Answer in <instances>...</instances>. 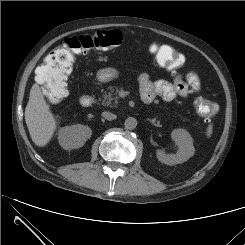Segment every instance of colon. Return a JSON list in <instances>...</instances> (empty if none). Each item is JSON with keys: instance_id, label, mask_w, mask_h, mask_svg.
I'll return each instance as SVG.
<instances>
[{"instance_id": "obj_1", "label": "colon", "mask_w": 245, "mask_h": 245, "mask_svg": "<svg viewBox=\"0 0 245 245\" xmlns=\"http://www.w3.org/2000/svg\"><path fill=\"white\" fill-rule=\"evenodd\" d=\"M122 43V34L118 30L96 31L90 35H79L67 39L63 45L55 48L38 69V78L44 84V92L51 102L64 99L68 94V76L72 70L76 54L85 53L92 49L108 50ZM159 65L171 70L181 69L185 60L168 45L152 48ZM197 113L206 120L213 118L217 111V104L203 96L194 100Z\"/></svg>"}]
</instances>
